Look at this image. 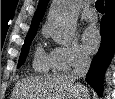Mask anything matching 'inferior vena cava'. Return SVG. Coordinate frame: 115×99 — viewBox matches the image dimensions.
<instances>
[{
	"label": "inferior vena cava",
	"instance_id": "602c4592",
	"mask_svg": "<svg viewBox=\"0 0 115 99\" xmlns=\"http://www.w3.org/2000/svg\"><path fill=\"white\" fill-rule=\"evenodd\" d=\"M90 57L86 54H78L73 63V70L71 72V77L74 80L83 78L86 76L89 67H90ZM84 91H87L86 88H83Z\"/></svg>",
	"mask_w": 115,
	"mask_h": 99
}]
</instances>
